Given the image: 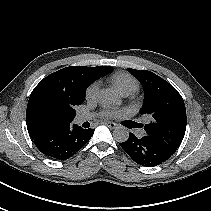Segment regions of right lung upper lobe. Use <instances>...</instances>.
Here are the masks:
<instances>
[{
  "label": "right lung upper lobe",
  "instance_id": "1",
  "mask_svg": "<svg viewBox=\"0 0 211 211\" xmlns=\"http://www.w3.org/2000/svg\"><path fill=\"white\" fill-rule=\"evenodd\" d=\"M111 66H70L56 71L32 91L26 110V124L32 139L48 129L70 124L74 107L82 104L90 83L111 72Z\"/></svg>",
  "mask_w": 211,
  "mask_h": 211
}]
</instances>
